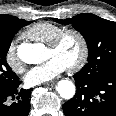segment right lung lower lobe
Instances as JSON below:
<instances>
[{
  "mask_svg": "<svg viewBox=\"0 0 116 116\" xmlns=\"http://www.w3.org/2000/svg\"><path fill=\"white\" fill-rule=\"evenodd\" d=\"M20 83L18 78L13 84L0 88V116H27L29 114L32 89L19 90Z\"/></svg>",
  "mask_w": 116,
  "mask_h": 116,
  "instance_id": "1",
  "label": "right lung lower lobe"
}]
</instances>
